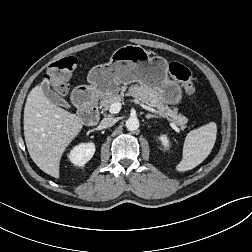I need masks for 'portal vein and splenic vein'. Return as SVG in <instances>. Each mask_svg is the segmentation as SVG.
<instances>
[{"mask_svg": "<svg viewBox=\"0 0 252 252\" xmlns=\"http://www.w3.org/2000/svg\"><path fill=\"white\" fill-rule=\"evenodd\" d=\"M132 101H133L134 103H136V104H139L140 107H142L143 109H145V110H147V111H149V112L156 113V114H159V115H161V116H165L164 113H162V112H160V111H157V110L151 108L150 106H147V105H145V104L139 102L137 99H134V100H132ZM121 107H122V103H120V102H114V103L111 104V106H110V108H109V112H110L111 114H117V113L120 112Z\"/></svg>", "mask_w": 252, "mask_h": 252, "instance_id": "obj_1", "label": "portal vein and splenic vein"}]
</instances>
